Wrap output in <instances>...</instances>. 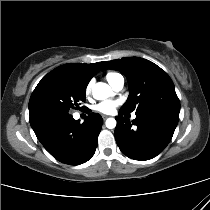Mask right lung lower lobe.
I'll use <instances>...</instances> for the list:
<instances>
[{
	"label": "right lung lower lobe",
	"instance_id": "right-lung-lower-lobe-1",
	"mask_svg": "<svg viewBox=\"0 0 210 210\" xmlns=\"http://www.w3.org/2000/svg\"><path fill=\"white\" fill-rule=\"evenodd\" d=\"M102 124L99 114L90 113L83 123L73 119L72 115H64L49 117L31 126L38 140L55 159L79 165L94 155Z\"/></svg>",
	"mask_w": 210,
	"mask_h": 210
}]
</instances>
